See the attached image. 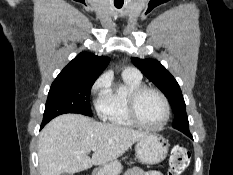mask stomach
Returning <instances> with one entry per match:
<instances>
[{
  "instance_id": "0dacf381",
  "label": "stomach",
  "mask_w": 233,
  "mask_h": 175,
  "mask_svg": "<svg viewBox=\"0 0 233 175\" xmlns=\"http://www.w3.org/2000/svg\"><path fill=\"white\" fill-rule=\"evenodd\" d=\"M168 148V141L163 136L148 133L137 141L135 153L140 162L152 165L158 164L166 158ZM121 172V163L118 160H113L96 168L92 175H120Z\"/></svg>"
}]
</instances>
